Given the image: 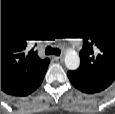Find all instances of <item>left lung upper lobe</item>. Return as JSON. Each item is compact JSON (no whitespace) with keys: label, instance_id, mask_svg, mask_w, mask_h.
Here are the masks:
<instances>
[{"label":"left lung upper lobe","instance_id":"1","mask_svg":"<svg viewBox=\"0 0 115 114\" xmlns=\"http://www.w3.org/2000/svg\"><path fill=\"white\" fill-rule=\"evenodd\" d=\"M81 64L73 76L112 84L115 80V18L95 23L81 33Z\"/></svg>","mask_w":115,"mask_h":114}]
</instances>
